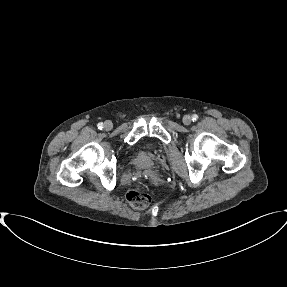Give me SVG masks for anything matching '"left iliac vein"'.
<instances>
[{
	"label": "left iliac vein",
	"mask_w": 287,
	"mask_h": 287,
	"mask_svg": "<svg viewBox=\"0 0 287 287\" xmlns=\"http://www.w3.org/2000/svg\"><path fill=\"white\" fill-rule=\"evenodd\" d=\"M191 122H192L191 116L185 115V116L183 117V123H184L185 125H189Z\"/></svg>",
	"instance_id": "left-iliac-vein-1"
}]
</instances>
